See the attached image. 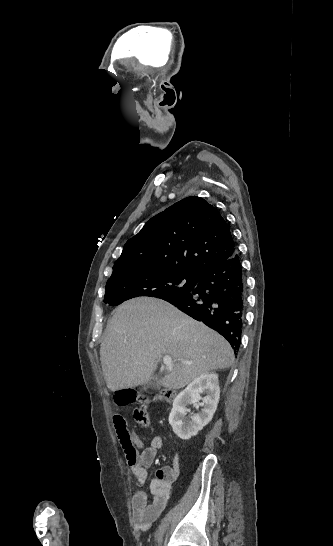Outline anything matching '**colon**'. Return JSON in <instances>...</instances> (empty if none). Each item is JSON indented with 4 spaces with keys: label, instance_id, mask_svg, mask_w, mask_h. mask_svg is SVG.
Wrapping results in <instances>:
<instances>
[{
    "label": "colon",
    "instance_id": "1",
    "mask_svg": "<svg viewBox=\"0 0 333 546\" xmlns=\"http://www.w3.org/2000/svg\"><path fill=\"white\" fill-rule=\"evenodd\" d=\"M173 399L174 392L167 389L161 390L153 399L138 396L135 392L130 390L120 391L116 395V402L118 405L127 406L136 402L140 404V406L134 411V418L136 422L142 427H147L149 425V416L147 409L151 404H153L157 400L171 402ZM113 422L117 438L125 453L126 458L128 460L135 459L137 455V449L131 440V436L127 429L125 419L120 415H115Z\"/></svg>",
    "mask_w": 333,
    "mask_h": 546
}]
</instances>
